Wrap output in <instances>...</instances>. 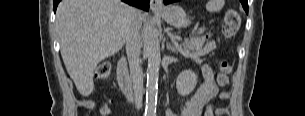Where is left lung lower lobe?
I'll return each mask as SVG.
<instances>
[{
	"label": "left lung lower lobe",
	"instance_id": "1",
	"mask_svg": "<svg viewBox=\"0 0 305 116\" xmlns=\"http://www.w3.org/2000/svg\"><path fill=\"white\" fill-rule=\"evenodd\" d=\"M177 0H164V3L165 4H169V3H172V2H176ZM241 3L243 5V8L245 9V11L248 13V3H247V0H241Z\"/></svg>",
	"mask_w": 305,
	"mask_h": 116
}]
</instances>
